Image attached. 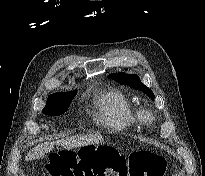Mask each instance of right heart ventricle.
<instances>
[{"instance_id": "1", "label": "right heart ventricle", "mask_w": 205, "mask_h": 176, "mask_svg": "<svg viewBox=\"0 0 205 176\" xmlns=\"http://www.w3.org/2000/svg\"><path fill=\"white\" fill-rule=\"evenodd\" d=\"M98 105L100 121L115 131L126 129L139 118L129 99L116 89L103 92L98 97Z\"/></svg>"}]
</instances>
